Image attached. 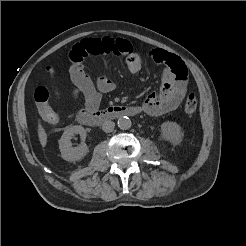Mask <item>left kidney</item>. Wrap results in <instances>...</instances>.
<instances>
[{"label":"left kidney","instance_id":"1","mask_svg":"<svg viewBox=\"0 0 246 246\" xmlns=\"http://www.w3.org/2000/svg\"><path fill=\"white\" fill-rule=\"evenodd\" d=\"M161 135L165 140L171 143H178L183 138L180 125L171 121H166L161 124Z\"/></svg>","mask_w":246,"mask_h":246}]
</instances>
